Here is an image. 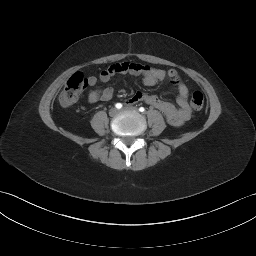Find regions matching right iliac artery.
<instances>
[{"instance_id":"obj_1","label":"right iliac artery","mask_w":256,"mask_h":256,"mask_svg":"<svg viewBox=\"0 0 256 256\" xmlns=\"http://www.w3.org/2000/svg\"><path fill=\"white\" fill-rule=\"evenodd\" d=\"M115 107H116L117 109H121V108H122V104H121V103H117V104L115 105Z\"/></svg>"}]
</instances>
